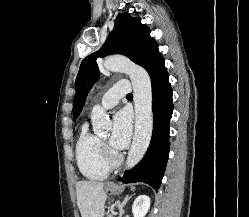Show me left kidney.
Returning a JSON list of instances; mask_svg holds the SVG:
<instances>
[{"instance_id": "5707ae66", "label": "left kidney", "mask_w": 249, "mask_h": 217, "mask_svg": "<svg viewBox=\"0 0 249 217\" xmlns=\"http://www.w3.org/2000/svg\"><path fill=\"white\" fill-rule=\"evenodd\" d=\"M150 208V198L147 195H139L133 202L132 213L134 217H145Z\"/></svg>"}]
</instances>
